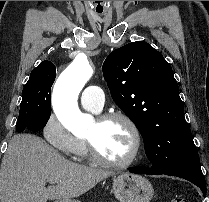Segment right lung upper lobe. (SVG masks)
<instances>
[{
    "label": "right lung upper lobe",
    "instance_id": "1",
    "mask_svg": "<svg viewBox=\"0 0 209 202\" xmlns=\"http://www.w3.org/2000/svg\"><path fill=\"white\" fill-rule=\"evenodd\" d=\"M36 76H44V77H53L56 76V67L50 61H43L39 64V66L32 70L30 74V78ZM29 78V79H30Z\"/></svg>",
    "mask_w": 209,
    "mask_h": 202
}]
</instances>
